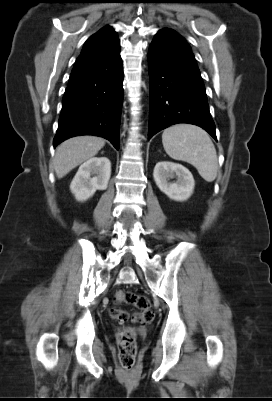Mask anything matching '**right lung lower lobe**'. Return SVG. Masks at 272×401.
<instances>
[{"label": "right lung lower lobe", "mask_w": 272, "mask_h": 401, "mask_svg": "<svg viewBox=\"0 0 272 401\" xmlns=\"http://www.w3.org/2000/svg\"><path fill=\"white\" fill-rule=\"evenodd\" d=\"M122 101L123 67L118 46L71 73L54 147L70 137L95 135L108 139L118 150Z\"/></svg>", "instance_id": "98d812e1"}]
</instances>
